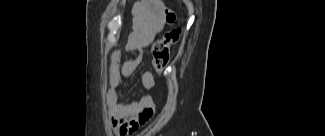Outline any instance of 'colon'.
<instances>
[{
  "label": "colon",
  "instance_id": "1",
  "mask_svg": "<svg viewBox=\"0 0 325 136\" xmlns=\"http://www.w3.org/2000/svg\"><path fill=\"white\" fill-rule=\"evenodd\" d=\"M167 20L170 23L175 21V15L173 13L167 14ZM181 35V29H171L167 31L163 37L157 40L152 48V65L158 73H162L166 68L169 58L171 47L177 43Z\"/></svg>",
  "mask_w": 325,
  "mask_h": 136
}]
</instances>
